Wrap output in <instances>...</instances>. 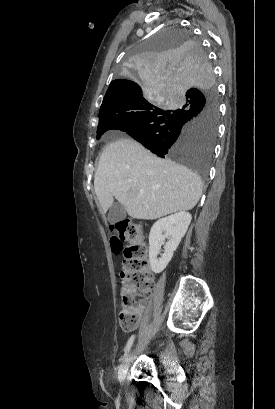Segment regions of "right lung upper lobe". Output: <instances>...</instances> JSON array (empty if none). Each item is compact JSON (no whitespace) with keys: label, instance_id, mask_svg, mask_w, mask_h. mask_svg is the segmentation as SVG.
<instances>
[{"label":"right lung upper lobe","instance_id":"cb5924a9","mask_svg":"<svg viewBox=\"0 0 275 409\" xmlns=\"http://www.w3.org/2000/svg\"><path fill=\"white\" fill-rule=\"evenodd\" d=\"M144 91L140 89L137 83L131 84L129 80H114L103 99L100 112L108 110L115 106L121 100L132 97H143Z\"/></svg>","mask_w":275,"mask_h":409}]
</instances>
